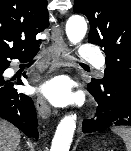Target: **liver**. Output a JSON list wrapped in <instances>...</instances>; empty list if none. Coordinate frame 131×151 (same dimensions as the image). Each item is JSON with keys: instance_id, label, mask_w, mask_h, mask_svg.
<instances>
[{"instance_id": "liver-1", "label": "liver", "mask_w": 131, "mask_h": 151, "mask_svg": "<svg viewBox=\"0 0 131 151\" xmlns=\"http://www.w3.org/2000/svg\"><path fill=\"white\" fill-rule=\"evenodd\" d=\"M20 138L17 128L0 119V151H16Z\"/></svg>"}]
</instances>
